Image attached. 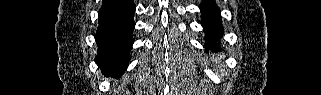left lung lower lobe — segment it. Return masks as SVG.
Instances as JSON below:
<instances>
[{"label":"left lung lower lobe","instance_id":"left-lung-lower-lobe-1","mask_svg":"<svg viewBox=\"0 0 321 95\" xmlns=\"http://www.w3.org/2000/svg\"><path fill=\"white\" fill-rule=\"evenodd\" d=\"M202 26L206 33V47L217 48L218 40L223 35L220 10L213 0H205L200 5Z\"/></svg>","mask_w":321,"mask_h":95}]
</instances>
